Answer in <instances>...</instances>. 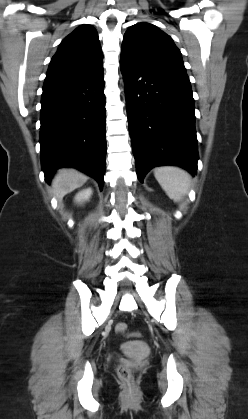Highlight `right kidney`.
I'll use <instances>...</instances> for the list:
<instances>
[{
  "instance_id": "ca27d5eb",
  "label": "right kidney",
  "mask_w": 248,
  "mask_h": 419,
  "mask_svg": "<svg viewBox=\"0 0 248 419\" xmlns=\"http://www.w3.org/2000/svg\"><path fill=\"white\" fill-rule=\"evenodd\" d=\"M91 195H92V189L91 188L82 190L75 196V202L82 203V202L88 200L91 197Z\"/></svg>"
}]
</instances>
